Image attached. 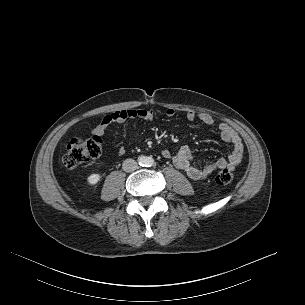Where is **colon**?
<instances>
[{"label": "colon", "mask_w": 305, "mask_h": 305, "mask_svg": "<svg viewBox=\"0 0 305 305\" xmlns=\"http://www.w3.org/2000/svg\"><path fill=\"white\" fill-rule=\"evenodd\" d=\"M103 142L97 135L89 138H72L62 154V164L68 169H74L81 164L97 159L102 153ZM234 179L229 170H221L216 176V182L220 185L230 184Z\"/></svg>", "instance_id": "obj_1"}]
</instances>
